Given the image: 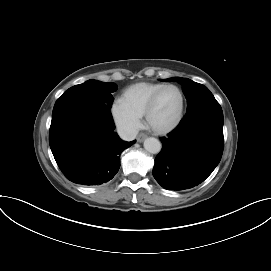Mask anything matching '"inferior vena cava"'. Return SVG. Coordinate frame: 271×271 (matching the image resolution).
Here are the masks:
<instances>
[{"mask_svg": "<svg viewBox=\"0 0 271 271\" xmlns=\"http://www.w3.org/2000/svg\"><path fill=\"white\" fill-rule=\"evenodd\" d=\"M118 134L122 140L132 141L136 138L138 131L133 128H119Z\"/></svg>", "mask_w": 271, "mask_h": 271, "instance_id": "obj_1", "label": "inferior vena cava"}]
</instances>
